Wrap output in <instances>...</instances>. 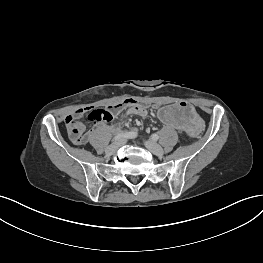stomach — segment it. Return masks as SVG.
Returning <instances> with one entry per match:
<instances>
[{"label":"stomach","instance_id":"stomach-1","mask_svg":"<svg viewBox=\"0 0 263 263\" xmlns=\"http://www.w3.org/2000/svg\"><path fill=\"white\" fill-rule=\"evenodd\" d=\"M155 117L158 122L166 124L172 130H178L187 139L202 136L206 129L203 118L185 102L162 105L157 108Z\"/></svg>","mask_w":263,"mask_h":263}]
</instances>
